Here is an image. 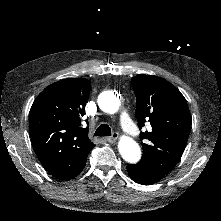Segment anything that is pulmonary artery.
Returning <instances> with one entry per match:
<instances>
[{
  "mask_svg": "<svg viewBox=\"0 0 221 221\" xmlns=\"http://www.w3.org/2000/svg\"><path fill=\"white\" fill-rule=\"evenodd\" d=\"M119 122H120L124 132H126L132 136H136L139 134V132H140L139 127L132 124V121H131L128 114H126V113L121 114L119 117Z\"/></svg>",
  "mask_w": 221,
  "mask_h": 221,
  "instance_id": "obj_1",
  "label": "pulmonary artery"
}]
</instances>
